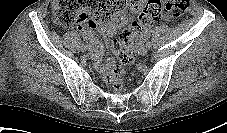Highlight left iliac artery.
I'll return each mask as SVG.
<instances>
[{"label":"left iliac artery","instance_id":"44dca946","mask_svg":"<svg viewBox=\"0 0 227 133\" xmlns=\"http://www.w3.org/2000/svg\"><path fill=\"white\" fill-rule=\"evenodd\" d=\"M147 38H148V37H147ZM147 44H148L149 49H150V48H151V46H152V45H151V42H150V41H148V42H147Z\"/></svg>","mask_w":227,"mask_h":133}]
</instances>
